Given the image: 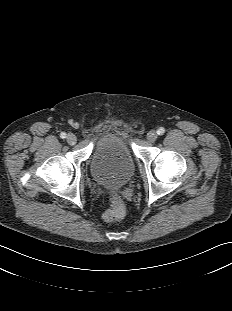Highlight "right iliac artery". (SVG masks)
Wrapping results in <instances>:
<instances>
[{
  "label": "right iliac artery",
  "mask_w": 232,
  "mask_h": 311,
  "mask_svg": "<svg viewBox=\"0 0 232 311\" xmlns=\"http://www.w3.org/2000/svg\"><path fill=\"white\" fill-rule=\"evenodd\" d=\"M60 137H61L62 139L66 138V133L62 132V133L60 134Z\"/></svg>",
  "instance_id": "82829eb1"
}]
</instances>
